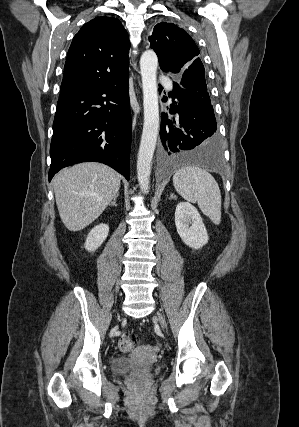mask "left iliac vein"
I'll list each match as a JSON object with an SVG mask.
<instances>
[{
  "label": "left iliac vein",
  "mask_w": 299,
  "mask_h": 427,
  "mask_svg": "<svg viewBox=\"0 0 299 427\" xmlns=\"http://www.w3.org/2000/svg\"><path fill=\"white\" fill-rule=\"evenodd\" d=\"M157 318H158V320L160 322V325H161L162 329L165 330L166 329V322H165V319H164L163 315L160 312L157 313Z\"/></svg>",
  "instance_id": "1"
}]
</instances>
